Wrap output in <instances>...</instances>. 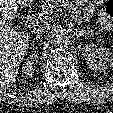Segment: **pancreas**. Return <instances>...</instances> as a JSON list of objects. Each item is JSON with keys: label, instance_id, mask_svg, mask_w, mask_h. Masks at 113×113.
Returning <instances> with one entry per match:
<instances>
[{"label": "pancreas", "instance_id": "cf45deb5", "mask_svg": "<svg viewBox=\"0 0 113 113\" xmlns=\"http://www.w3.org/2000/svg\"><path fill=\"white\" fill-rule=\"evenodd\" d=\"M64 7L68 12L71 13L73 19L78 23H82L81 13L78 8L70 1L65 0H47L42 6L41 15L48 14L49 11L55 7Z\"/></svg>", "mask_w": 113, "mask_h": 113}]
</instances>
